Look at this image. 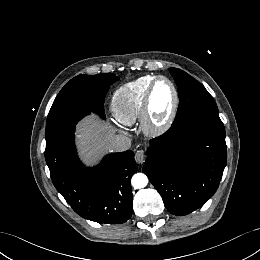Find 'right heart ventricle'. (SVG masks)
<instances>
[{
	"instance_id": "1",
	"label": "right heart ventricle",
	"mask_w": 260,
	"mask_h": 260,
	"mask_svg": "<svg viewBox=\"0 0 260 260\" xmlns=\"http://www.w3.org/2000/svg\"><path fill=\"white\" fill-rule=\"evenodd\" d=\"M155 78L151 75L140 77L114 92L111 108L119 122L132 125L140 120L145 94Z\"/></svg>"
}]
</instances>
